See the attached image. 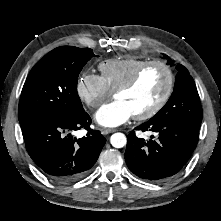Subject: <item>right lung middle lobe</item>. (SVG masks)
<instances>
[{
	"label": "right lung middle lobe",
	"mask_w": 221,
	"mask_h": 221,
	"mask_svg": "<svg viewBox=\"0 0 221 221\" xmlns=\"http://www.w3.org/2000/svg\"><path fill=\"white\" fill-rule=\"evenodd\" d=\"M90 48L62 46L46 54L23 86L18 118L21 129L50 118H69L84 111L77 93L78 76L94 57Z\"/></svg>",
	"instance_id": "dd1d6c3e"
}]
</instances>
